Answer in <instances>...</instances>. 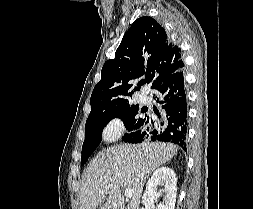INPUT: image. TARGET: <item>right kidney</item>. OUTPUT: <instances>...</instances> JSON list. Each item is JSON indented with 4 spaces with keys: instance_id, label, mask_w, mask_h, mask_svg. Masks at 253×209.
<instances>
[{
    "instance_id": "obj_1",
    "label": "right kidney",
    "mask_w": 253,
    "mask_h": 209,
    "mask_svg": "<svg viewBox=\"0 0 253 209\" xmlns=\"http://www.w3.org/2000/svg\"><path fill=\"white\" fill-rule=\"evenodd\" d=\"M177 179L175 172L168 167H160L153 172L146 184V191L142 197V203L145 209H155L154 201L159 194L157 193L158 186H164L163 202L156 209H175L176 194H177Z\"/></svg>"
}]
</instances>
